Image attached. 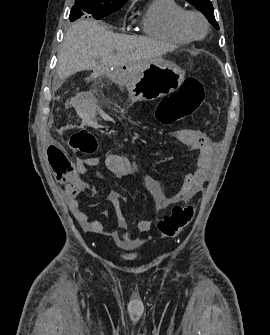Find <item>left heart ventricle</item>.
<instances>
[{
	"label": "left heart ventricle",
	"instance_id": "left-heart-ventricle-1",
	"mask_svg": "<svg viewBox=\"0 0 270 335\" xmlns=\"http://www.w3.org/2000/svg\"><path fill=\"white\" fill-rule=\"evenodd\" d=\"M187 26L194 36L199 37L204 34V24L197 16H190L187 20Z\"/></svg>",
	"mask_w": 270,
	"mask_h": 335
}]
</instances>
